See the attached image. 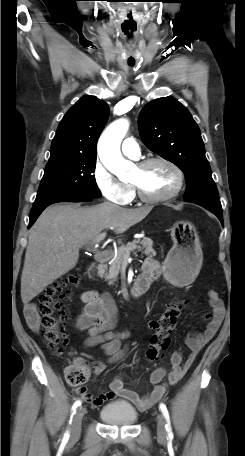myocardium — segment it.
<instances>
[{
    "instance_id": "obj_1",
    "label": "myocardium",
    "mask_w": 245,
    "mask_h": 456,
    "mask_svg": "<svg viewBox=\"0 0 245 456\" xmlns=\"http://www.w3.org/2000/svg\"><path fill=\"white\" fill-rule=\"evenodd\" d=\"M154 163H163V164L169 166L174 171L176 178H177L175 187L169 193H167L165 195L150 196V195H147L138 184L132 183V186H133L136 194L138 195L139 199L142 200L143 202L161 203V202L169 201V200L175 198L181 192V190L184 186V180H185L184 173H183L182 169L176 163H174L172 160L165 158V157H159V156L147 158V159L139 162L137 167L140 169H145Z\"/></svg>"
}]
</instances>
